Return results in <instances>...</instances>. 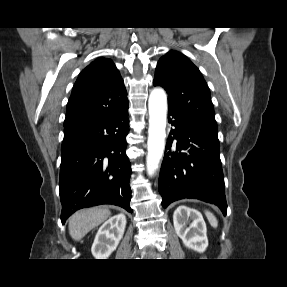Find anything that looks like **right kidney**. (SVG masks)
I'll return each instance as SVG.
<instances>
[{
  "instance_id": "1",
  "label": "right kidney",
  "mask_w": 287,
  "mask_h": 287,
  "mask_svg": "<svg viewBox=\"0 0 287 287\" xmlns=\"http://www.w3.org/2000/svg\"><path fill=\"white\" fill-rule=\"evenodd\" d=\"M126 217L123 213L109 218L99 228L91 252L96 259H107L123 237Z\"/></svg>"
}]
</instances>
